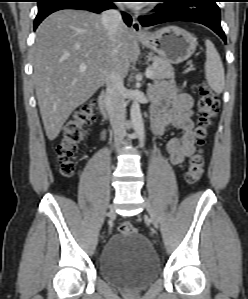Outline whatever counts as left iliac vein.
Instances as JSON below:
<instances>
[{"instance_id":"1","label":"left iliac vein","mask_w":248,"mask_h":299,"mask_svg":"<svg viewBox=\"0 0 248 299\" xmlns=\"http://www.w3.org/2000/svg\"><path fill=\"white\" fill-rule=\"evenodd\" d=\"M144 206H145V208H146V210H147V212H148V214H149V216L151 218V221H152L153 225L157 228L158 227V223H159L157 215H156V213L154 211L153 206L151 205V203L149 202V200L146 199V198L144 200Z\"/></svg>"}]
</instances>
